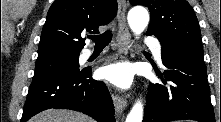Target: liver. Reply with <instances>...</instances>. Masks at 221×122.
I'll return each mask as SVG.
<instances>
[{
  "label": "liver",
  "mask_w": 221,
  "mask_h": 122,
  "mask_svg": "<svg viewBox=\"0 0 221 122\" xmlns=\"http://www.w3.org/2000/svg\"><path fill=\"white\" fill-rule=\"evenodd\" d=\"M29 122H93V120L76 111L48 109L31 118Z\"/></svg>",
  "instance_id": "liver-1"
}]
</instances>
